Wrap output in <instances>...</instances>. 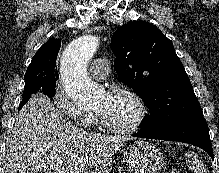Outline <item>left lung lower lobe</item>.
<instances>
[{"instance_id": "1", "label": "left lung lower lobe", "mask_w": 219, "mask_h": 173, "mask_svg": "<svg viewBox=\"0 0 219 173\" xmlns=\"http://www.w3.org/2000/svg\"><path fill=\"white\" fill-rule=\"evenodd\" d=\"M132 136L190 143L204 149L214 158L208 125L204 118L187 121L161 133L139 131Z\"/></svg>"}]
</instances>
